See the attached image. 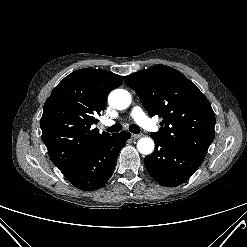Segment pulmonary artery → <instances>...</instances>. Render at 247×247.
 <instances>
[{"mask_svg":"<svg viewBox=\"0 0 247 247\" xmlns=\"http://www.w3.org/2000/svg\"><path fill=\"white\" fill-rule=\"evenodd\" d=\"M131 117L143 128L150 130V131H156L157 126L146 116V114L143 112V110L136 106L131 110ZM115 122L112 120H106L103 122L105 126H111Z\"/></svg>","mask_w":247,"mask_h":247,"instance_id":"1","label":"pulmonary artery"}]
</instances>
